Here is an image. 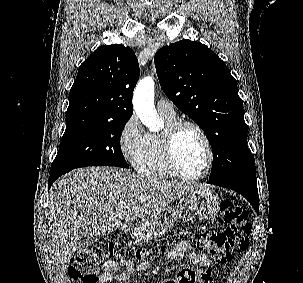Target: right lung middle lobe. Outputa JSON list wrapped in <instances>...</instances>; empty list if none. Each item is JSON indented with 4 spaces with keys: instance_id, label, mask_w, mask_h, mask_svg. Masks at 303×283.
Here are the masks:
<instances>
[{
    "instance_id": "right-lung-middle-lobe-1",
    "label": "right lung middle lobe",
    "mask_w": 303,
    "mask_h": 283,
    "mask_svg": "<svg viewBox=\"0 0 303 283\" xmlns=\"http://www.w3.org/2000/svg\"><path fill=\"white\" fill-rule=\"evenodd\" d=\"M127 121L88 116L66 118V130L50 172L86 166L128 168L120 147Z\"/></svg>"
}]
</instances>
